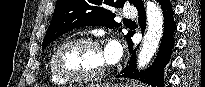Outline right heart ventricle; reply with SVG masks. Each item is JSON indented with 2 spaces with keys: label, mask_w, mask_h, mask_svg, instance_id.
Returning <instances> with one entry per match:
<instances>
[{
  "label": "right heart ventricle",
  "mask_w": 205,
  "mask_h": 87,
  "mask_svg": "<svg viewBox=\"0 0 205 87\" xmlns=\"http://www.w3.org/2000/svg\"><path fill=\"white\" fill-rule=\"evenodd\" d=\"M49 75H50L51 82L55 85H64L67 82L56 75V73L54 72L52 68L51 60L49 62Z\"/></svg>",
  "instance_id": "right-heart-ventricle-1"
}]
</instances>
